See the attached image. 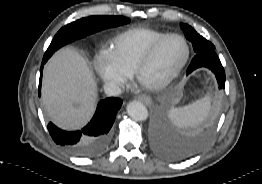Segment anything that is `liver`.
<instances>
[{"instance_id": "liver-1", "label": "liver", "mask_w": 262, "mask_h": 184, "mask_svg": "<svg viewBox=\"0 0 262 184\" xmlns=\"http://www.w3.org/2000/svg\"><path fill=\"white\" fill-rule=\"evenodd\" d=\"M43 102L51 120L66 130L84 126L95 110L97 85L86 60L75 50L63 48L44 71Z\"/></svg>"}]
</instances>
